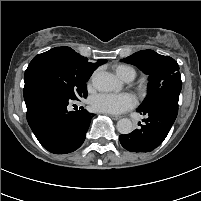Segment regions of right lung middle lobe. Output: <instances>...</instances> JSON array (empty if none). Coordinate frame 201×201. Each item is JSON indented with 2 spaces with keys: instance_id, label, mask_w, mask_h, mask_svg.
Returning <instances> with one entry per match:
<instances>
[{
  "instance_id": "dd1d6c3e",
  "label": "right lung middle lobe",
  "mask_w": 201,
  "mask_h": 201,
  "mask_svg": "<svg viewBox=\"0 0 201 201\" xmlns=\"http://www.w3.org/2000/svg\"><path fill=\"white\" fill-rule=\"evenodd\" d=\"M88 79L69 65L62 52L51 49L33 58L25 71L24 81H43L60 89L70 99L79 100L87 97Z\"/></svg>"
}]
</instances>
